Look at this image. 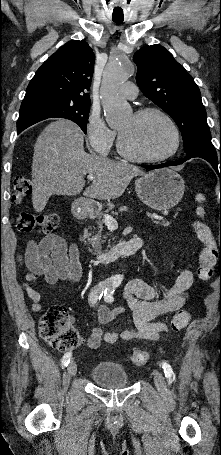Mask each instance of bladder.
Returning <instances> with one entry per match:
<instances>
[{"label":"bladder","mask_w":221,"mask_h":455,"mask_svg":"<svg viewBox=\"0 0 221 455\" xmlns=\"http://www.w3.org/2000/svg\"><path fill=\"white\" fill-rule=\"evenodd\" d=\"M90 377L99 386L121 388L129 384L125 368L120 364L100 362L90 370Z\"/></svg>","instance_id":"obj_1"}]
</instances>
